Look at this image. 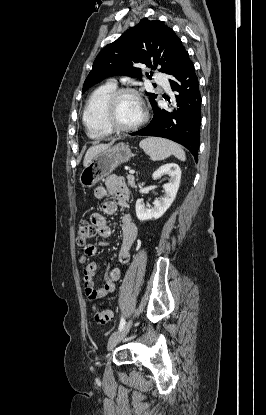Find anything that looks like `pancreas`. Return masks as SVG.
<instances>
[{"label":"pancreas","instance_id":"pancreas-1","mask_svg":"<svg viewBox=\"0 0 266 415\" xmlns=\"http://www.w3.org/2000/svg\"><path fill=\"white\" fill-rule=\"evenodd\" d=\"M127 181H128V185L130 187H134L135 186V178L133 175H127Z\"/></svg>","mask_w":266,"mask_h":415}]
</instances>
